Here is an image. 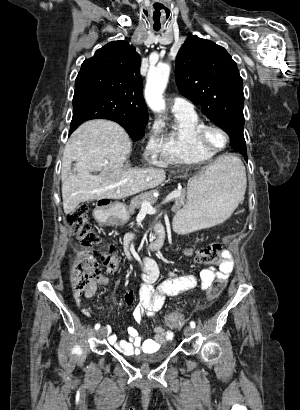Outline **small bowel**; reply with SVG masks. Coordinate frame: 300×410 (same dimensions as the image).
<instances>
[{
  "mask_svg": "<svg viewBox=\"0 0 300 410\" xmlns=\"http://www.w3.org/2000/svg\"><path fill=\"white\" fill-rule=\"evenodd\" d=\"M80 251L79 253H82ZM143 273L141 275V284L139 287V303L133 310V319L137 324L142 322L143 316H153L160 311L164 305L165 299L168 296H178L182 293L199 288L203 291L209 289L211 284L216 280H224L230 277L234 269V260L230 252L222 251L221 259L217 265H210L203 269L199 276L192 274H169L168 277L159 283H155L159 277V270L157 265L149 258L142 259ZM109 280L105 276H99L92 281L83 292L86 298L93 297L100 285H108ZM74 301L78 307L82 306V293L74 291ZM134 301V294L132 291L124 295V303L126 305L132 304ZM82 313L89 317L91 315V307H83ZM108 336L109 343L119 352L126 355H133L138 353H148L156 350L158 346L173 337L172 331L163 327L156 326L154 328V337L145 339L139 329L135 326H129L127 333L129 339L119 340L112 332L110 326L103 327Z\"/></svg>",
  "mask_w": 300,
  "mask_h": 410,
  "instance_id": "1",
  "label": "small bowel"
}]
</instances>
